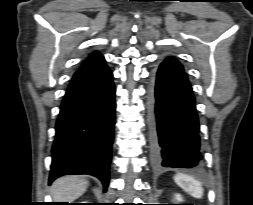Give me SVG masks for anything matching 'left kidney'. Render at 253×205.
Instances as JSON below:
<instances>
[{
	"label": "left kidney",
	"mask_w": 253,
	"mask_h": 205,
	"mask_svg": "<svg viewBox=\"0 0 253 205\" xmlns=\"http://www.w3.org/2000/svg\"><path fill=\"white\" fill-rule=\"evenodd\" d=\"M175 199H176L177 201H182V196H181L180 194H176V195H175Z\"/></svg>",
	"instance_id": "1"
}]
</instances>
